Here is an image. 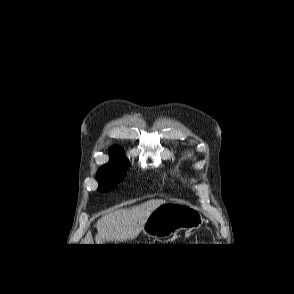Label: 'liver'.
I'll return each instance as SVG.
<instances>
[{"instance_id":"1","label":"liver","mask_w":294,"mask_h":294,"mask_svg":"<svg viewBox=\"0 0 294 294\" xmlns=\"http://www.w3.org/2000/svg\"><path fill=\"white\" fill-rule=\"evenodd\" d=\"M165 201L149 200L131 208L117 209L103 215L96 224V243L126 242L135 239L142 231L149 215ZM83 244H93L91 232H88Z\"/></svg>"}]
</instances>
